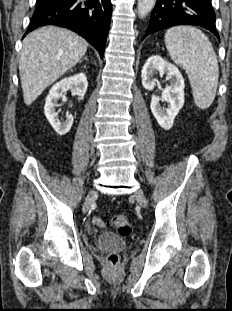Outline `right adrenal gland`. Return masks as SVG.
<instances>
[{"label":"right adrenal gland","mask_w":232,"mask_h":311,"mask_svg":"<svg viewBox=\"0 0 232 311\" xmlns=\"http://www.w3.org/2000/svg\"><path fill=\"white\" fill-rule=\"evenodd\" d=\"M84 60H88V58L87 57H85L83 60H81L80 62H83Z\"/></svg>","instance_id":"right-adrenal-gland-1"}]
</instances>
